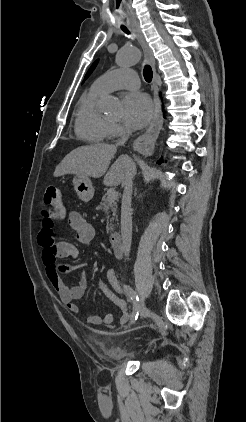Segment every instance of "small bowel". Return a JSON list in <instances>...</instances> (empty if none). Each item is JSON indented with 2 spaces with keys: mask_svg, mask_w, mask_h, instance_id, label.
I'll use <instances>...</instances> for the list:
<instances>
[{
  "mask_svg": "<svg viewBox=\"0 0 246 422\" xmlns=\"http://www.w3.org/2000/svg\"><path fill=\"white\" fill-rule=\"evenodd\" d=\"M68 222L70 227L75 231L76 239L80 243L88 244L95 238L96 232L94 227L80 213L72 211L68 216ZM54 223L51 215L46 213L38 234V243L42 247V260L46 268V275L68 312L72 315H79V307L74 301L84 296L89 285L83 276H79L76 283L71 287H67L63 283L61 274L69 267L59 264V260L67 258L75 260L78 258L79 251L70 242L55 240ZM86 264V262H83L74 268L79 269ZM97 289L122 309L119 321L121 324L127 323L130 315L124 298L125 293L120 286L114 268L109 267L107 269L106 281L99 280L97 282ZM111 289L120 296H116ZM113 320L114 317L111 313L103 316L90 315L87 318L88 323L95 326L111 325Z\"/></svg>",
  "mask_w": 246,
  "mask_h": 422,
  "instance_id": "small-bowel-1",
  "label": "small bowel"
}]
</instances>
